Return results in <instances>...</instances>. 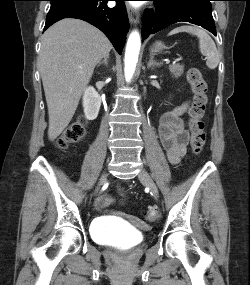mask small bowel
I'll return each instance as SVG.
<instances>
[{"instance_id": "small-bowel-1", "label": "small bowel", "mask_w": 250, "mask_h": 285, "mask_svg": "<svg viewBox=\"0 0 250 285\" xmlns=\"http://www.w3.org/2000/svg\"><path fill=\"white\" fill-rule=\"evenodd\" d=\"M189 104V101H186L176 108L165 112L160 118L159 137L166 151L167 158L172 164H178L186 153L189 132L186 129L183 115L187 111ZM112 201V198L108 197L103 205L107 206Z\"/></svg>"}]
</instances>
